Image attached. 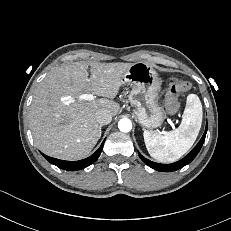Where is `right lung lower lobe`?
I'll use <instances>...</instances> for the list:
<instances>
[{"instance_id": "98d812e1", "label": "right lung lower lobe", "mask_w": 231, "mask_h": 231, "mask_svg": "<svg viewBox=\"0 0 231 231\" xmlns=\"http://www.w3.org/2000/svg\"><path fill=\"white\" fill-rule=\"evenodd\" d=\"M104 141L102 142L99 149L93 155H91L90 157L85 158L83 160H79V161H73V162L72 161H65V160H60V159H56V158L46 156L44 154H42V155L50 163L56 165L57 167H59L61 169L68 170V171L81 170V169H83L85 167H88L89 165H91L92 163H94L97 160V158L99 157V155L101 154V151L103 149Z\"/></svg>"}]
</instances>
